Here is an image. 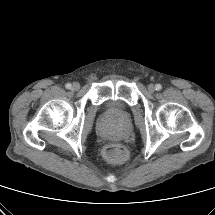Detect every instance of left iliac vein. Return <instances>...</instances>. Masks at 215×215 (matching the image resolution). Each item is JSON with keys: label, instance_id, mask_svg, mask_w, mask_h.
<instances>
[{"label": "left iliac vein", "instance_id": "left-iliac-vein-1", "mask_svg": "<svg viewBox=\"0 0 215 215\" xmlns=\"http://www.w3.org/2000/svg\"><path fill=\"white\" fill-rule=\"evenodd\" d=\"M148 90H149L150 93H153L155 91V86L153 84H150L148 86Z\"/></svg>", "mask_w": 215, "mask_h": 215}]
</instances>
